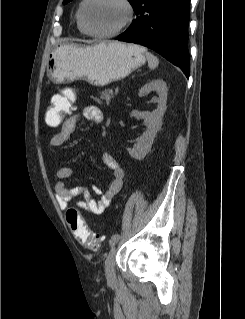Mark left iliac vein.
Listing matches in <instances>:
<instances>
[{
    "label": "left iliac vein",
    "mask_w": 245,
    "mask_h": 319,
    "mask_svg": "<svg viewBox=\"0 0 245 319\" xmlns=\"http://www.w3.org/2000/svg\"><path fill=\"white\" fill-rule=\"evenodd\" d=\"M117 253V248L113 246L106 258L105 261V275L109 282H113L115 280V257Z\"/></svg>",
    "instance_id": "left-iliac-vein-1"
}]
</instances>
